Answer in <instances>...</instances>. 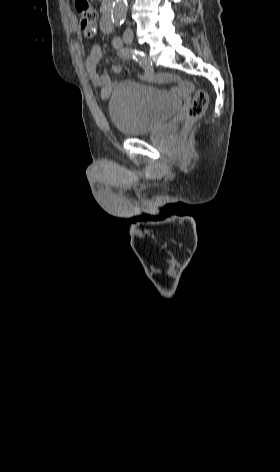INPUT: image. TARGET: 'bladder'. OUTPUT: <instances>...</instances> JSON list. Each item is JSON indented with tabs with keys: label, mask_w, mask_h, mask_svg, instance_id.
I'll return each mask as SVG.
<instances>
[{
	"label": "bladder",
	"mask_w": 280,
	"mask_h": 472,
	"mask_svg": "<svg viewBox=\"0 0 280 472\" xmlns=\"http://www.w3.org/2000/svg\"><path fill=\"white\" fill-rule=\"evenodd\" d=\"M178 108V100L169 92L136 81L119 83L109 102L114 126L122 134L132 137L154 131Z\"/></svg>",
	"instance_id": "1"
}]
</instances>
